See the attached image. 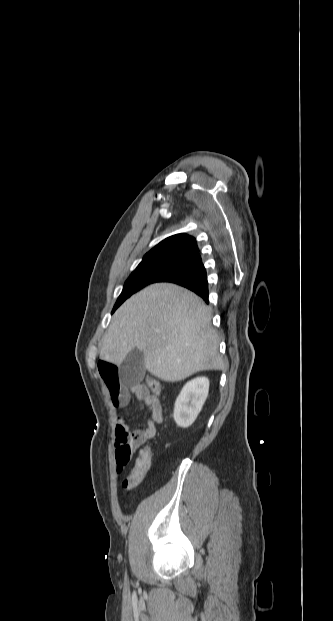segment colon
<instances>
[{
	"mask_svg": "<svg viewBox=\"0 0 333 621\" xmlns=\"http://www.w3.org/2000/svg\"><path fill=\"white\" fill-rule=\"evenodd\" d=\"M147 383L152 392L159 396L162 390L161 383L153 377L148 378ZM151 460L152 453L150 448H142L138 453L131 471L124 480V486L126 489L131 490L142 482L151 467Z\"/></svg>",
	"mask_w": 333,
	"mask_h": 621,
	"instance_id": "1",
	"label": "colon"
}]
</instances>
